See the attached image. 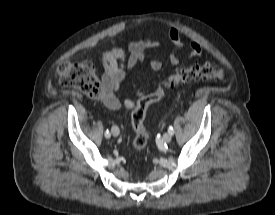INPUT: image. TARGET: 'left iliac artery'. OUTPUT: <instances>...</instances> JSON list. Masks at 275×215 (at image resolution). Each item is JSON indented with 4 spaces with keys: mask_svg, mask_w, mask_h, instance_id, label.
<instances>
[{
    "mask_svg": "<svg viewBox=\"0 0 275 215\" xmlns=\"http://www.w3.org/2000/svg\"><path fill=\"white\" fill-rule=\"evenodd\" d=\"M168 132H169L171 135H173V134H174V129H173V127H172V126H169V128H168Z\"/></svg>",
    "mask_w": 275,
    "mask_h": 215,
    "instance_id": "left-iliac-artery-1",
    "label": "left iliac artery"
}]
</instances>
